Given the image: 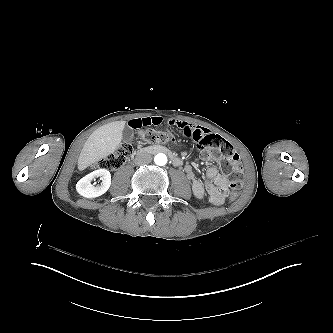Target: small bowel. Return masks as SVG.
<instances>
[{"instance_id":"small-bowel-1","label":"small bowel","mask_w":333,"mask_h":333,"mask_svg":"<svg viewBox=\"0 0 333 333\" xmlns=\"http://www.w3.org/2000/svg\"><path fill=\"white\" fill-rule=\"evenodd\" d=\"M162 123L163 118L159 116L144 117L130 121V125L134 128H141L145 126H159ZM169 123L171 125L182 127L189 131V133L195 131L202 134L206 133L201 128H195L192 131L189 130L190 127L187 123L183 121L170 120ZM205 159L218 162L220 160V157L214 156L213 153L209 152L205 155ZM184 170L186 176L192 181V190L197 198L201 199L205 196V194H207L209 201L213 205L220 206L225 202L228 193L229 180L227 175L219 173V170L216 166H211L207 169L204 182L200 181L195 177L193 169L190 165H186Z\"/></svg>"}]
</instances>
